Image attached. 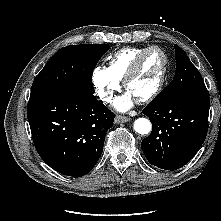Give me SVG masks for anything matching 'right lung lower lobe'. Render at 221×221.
Instances as JSON below:
<instances>
[{
  "instance_id": "right-lung-lower-lobe-1",
  "label": "right lung lower lobe",
  "mask_w": 221,
  "mask_h": 221,
  "mask_svg": "<svg viewBox=\"0 0 221 221\" xmlns=\"http://www.w3.org/2000/svg\"><path fill=\"white\" fill-rule=\"evenodd\" d=\"M27 117L43 161L61 174L81 177L100 158L115 115L92 93L68 92L30 99Z\"/></svg>"
}]
</instances>
